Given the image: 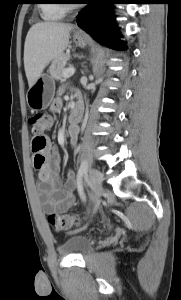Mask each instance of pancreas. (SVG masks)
I'll use <instances>...</instances> for the list:
<instances>
[{
  "mask_svg": "<svg viewBox=\"0 0 181 300\" xmlns=\"http://www.w3.org/2000/svg\"><path fill=\"white\" fill-rule=\"evenodd\" d=\"M70 58V54H63L60 57L56 58L50 68L49 73L52 76V78L56 80H61L64 77V71L66 69V63L68 59Z\"/></svg>",
  "mask_w": 181,
  "mask_h": 300,
  "instance_id": "pancreas-1",
  "label": "pancreas"
}]
</instances>
